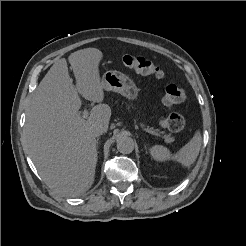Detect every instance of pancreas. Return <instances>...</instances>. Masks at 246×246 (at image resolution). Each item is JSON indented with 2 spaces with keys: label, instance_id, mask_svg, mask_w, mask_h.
<instances>
[{
  "label": "pancreas",
  "instance_id": "1",
  "mask_svg": "<svg viewBox=\"0 0 246 246\" xmlns=\"http://www.w3.org/2000/svg\"><path fill=\"white\" fill-rule=\"evenodd\" d=\"M150 129H152L157 134L156 136H163L166 142L170 143L173 141V138L170 135H163V132H160L158 129Z\"/></svg>",
  "mask_w": 246,
  "mask_h": 246
}]
</instances>
